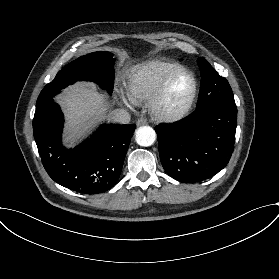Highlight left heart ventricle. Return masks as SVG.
I'll use <instances>...</instances> for the list:
<instances>
[{"instance_id": "left-heart-ventricle-1", "label": "left heart ventricle", "mask_w": 279, "mask_h": 279, "mask_svg": "<svg viewBox=\"0 0 279 279\" xmlns=\"http://www.w3.org/2000/svg\"><path fill=\"white\" fill-rule=\"evenodd\" d=\"M192 87V78L188 74H181L171 84L164 102V108L168 111L178 109L188 99Z\"/></svg>"}]
</instances>
